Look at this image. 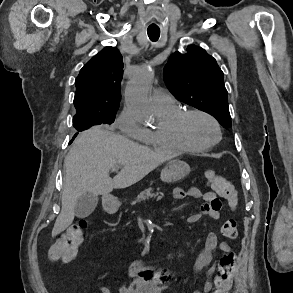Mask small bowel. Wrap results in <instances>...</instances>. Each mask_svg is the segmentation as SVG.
Listing matches in <instances>:
<instances>
[{
	"label": "small bowel",
	"instance_id": "obj_1",
	"mask_svg": "<svg viewBox=\"0 0 293 293\" xmlns=\"http://www.w3.org/2000/svg\"><path fill=\"white\" fill-rule=\"evenodd\" d=\"M187 197L201 198V212L191 214L187 217L188 223H196L202 215H207L211 219L218 220L220 218L221 201L214 191L202 192L197 187L189 189L176 188L173 191V198L176 200H184ZM219 248L222 251H229L231 247L225 242H219L215 232L207 235L204 247L197 256L194 268L197 271L207 269V280L204 282L200 291L194 293H210L213 287L211 277L214 275L216 268L211 265L213 252ZM129 277L134 281L131 286L119 285L113 291L109 288H101L99 293H166L172 274L167 269H155L147 267L140 261L131 263L128 270Z\"/></svg>",
	"mask_w": 293,
	"mask_h": 293
}]
</instances>
